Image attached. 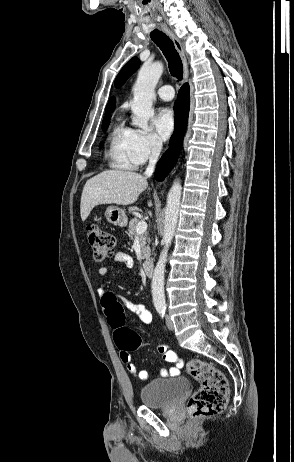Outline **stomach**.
<instances>
[{
    "label": "stomach",
    "instance_id": "stomach-1",
    "mask_svg": "<svg viewBox=\"0 0 294 462\" xmlns=\"http://www.w3.org/2000/svg\"><path fill=\"white\" fill-rule=\"evenodd\" d=\"M105 216L109 223L116 226H125L127 224V217L124 210L116 206H109L106 209Z\"/></svg>",
    "mask_w": 294,
    "mask_h": 462
}]
</instances>
